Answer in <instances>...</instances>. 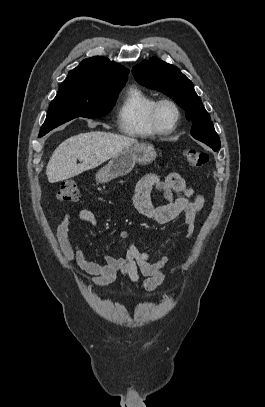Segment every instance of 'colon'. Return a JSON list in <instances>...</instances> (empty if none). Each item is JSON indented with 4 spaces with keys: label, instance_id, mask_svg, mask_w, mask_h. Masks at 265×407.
Listing matches in <instances>:
<instances>
[{
    "label": "colon",
    "instance_id": "1",
    "mask_svg": "<svg viewBox=\"0 0 265 407\" xmlns=\"http://www.w3.org/2000/svg\"><path fill=\"white\" fill-rule=\"evenodd\" d=\"M184 157L188 164L195 167L205 166L209 161L207 153L196 149L185 150ZM56 197L61 202H76L81 198V192L74 182L67 181L62 183Z\"/></svg>",
    "mask_w": 265,
    "mask_h": 407
}]
</instances>
